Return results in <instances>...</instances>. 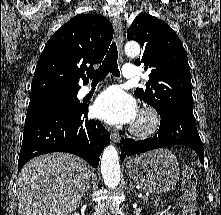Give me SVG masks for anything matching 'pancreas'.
I'll use <instances>...</instances> for the list:
<instances>
[{"label": "pancreas", "instance_id": "1", "mask_svg": "<svg viewBox=\"0 0 221 215\" xmlns=\"http://www.w3.org/2000/svg\"><path fill=\"white\" fill-rule=\"evenodd\" d=\"M150 203L153 204L155 207H157V206H159V204L162 203V202H161L160 199H155V200L151 201Z\"/></svg>", "mask_w": 221, "mask_h": 215}]
</instances>
